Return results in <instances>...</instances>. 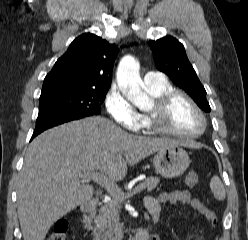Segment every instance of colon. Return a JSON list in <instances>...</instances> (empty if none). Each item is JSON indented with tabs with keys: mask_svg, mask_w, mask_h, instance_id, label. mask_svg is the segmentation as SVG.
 <instances>
[{
	"mask_svg": "<svg viewBox=\"0 0 248 240\" xmlns=\"http://www.w3.org/2000/svg\"><path fill=\"white\" fill-rule=\"evenodd\" d=\"M186 184L189 187H193L198 182V175L195 172H189L186 176ZM67 222L64 220H60L56 222L53 232L48 237L47 240H66V232H67Z\"/></svg>",
	"mask_w": 248,
	"mask_h": 240,
	"instance_id": "colon-1",
	"label": "colon"
}]
</instances>
